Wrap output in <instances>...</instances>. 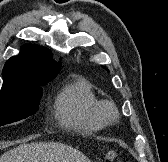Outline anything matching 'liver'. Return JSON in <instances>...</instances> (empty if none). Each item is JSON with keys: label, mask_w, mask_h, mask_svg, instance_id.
I'll use <instances>...</instances> for the list:
<instances>
[{"label": "liver", "mask_w": 168, "mask_h": 162, "mask_svg": "<svg viewBox=\"0 0 168 162\" xmlns=\"http://www.w3.org/2000/svg\"><path fill=\"white\" fill-rule=\"evenodd\" d=\"M0 162H91L77 149L56 142L22 144L0 157Z\"/></svg>", "instance_id": "obj_1"}]
</instances>
